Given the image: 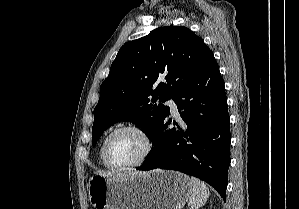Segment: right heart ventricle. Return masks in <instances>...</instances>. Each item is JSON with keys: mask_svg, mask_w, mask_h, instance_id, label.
Masks as SVG:
<instances>
[{"mask_svg": "<svg viewBox=\"0 0 299 209\" xmlns=\"http://www.w3.org/2000/svg\"><path fill=\"white\" fill-rule=\"evenodd\" d=\"M112 131H109L102 139L101 141V144H100V147H99V160L101 162V164L105 165L104 163V146H105V143H106V140L108 138V136L111 134Z\"/></svg>", "mask_w": 299, "mask_h": 209, "instance_id": "right-heart-ventricle-1", "label": "right heart ventricle"}]
</instances>
